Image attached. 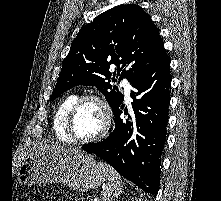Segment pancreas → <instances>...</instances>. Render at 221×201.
Here are the masks:
<instances>
[{
    "instance_id": "obj_1",
    "label": "pancreas",
    "mask_w": 221,
    "mask_h": 201,
    "mask_svg": "<svg viewBox=\"0 0 221 201\" xmlns=\"http://www.w3.org/2000/svg\"><path fill=\"white\" fill-rule=\"evenodd\" d=\"M81 198H78L77 201H80Z\"/></svg>"
}]
</instances>
